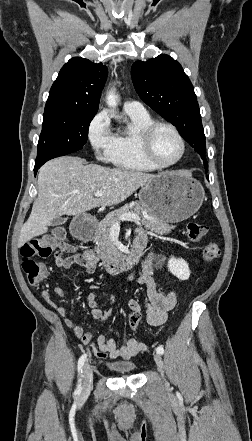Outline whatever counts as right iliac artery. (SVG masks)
Here are the masks:
<instances>
[{"label":"right iliac artery","mask_w":252,"mask_h":441,"mask_svg":"<svg viewBox=\"0 0 252 441\" xmlns=\"http://www.w3.org/2000/svg\"><path fill=\"white\" fill-rule=\"evenodd\" d=\"M86 357H87V355H86V354H83V355L79 358V360H78V373H79L80 377H81V374H82V368H83V365H84V363H85ZM81 390H82V386H81V378H80L75 393H76V394H80V393H81Z\"/></svg>","instance_id":"right-iliac-artery-1"}]
</instances>
